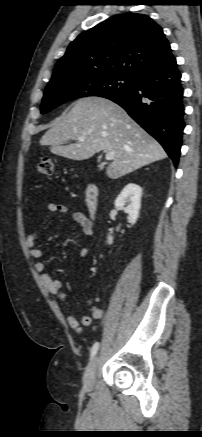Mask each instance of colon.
Masks as SVG:
<instances>
[{
  "mask_svg": "<svg viewBox=\"0 0 202 437\" xmlns=\"http://www.w3.org/2000/svg\"><path fill=\"white\" fill-rule=\"evenodd\" d=\"M40 174L51 176L55 171V160L52 157H44L37 165Z\"/></svg>",
  "mask_w": 202,
  "mask_h": 437,
  "instance_id": "1",
  "label": "colon"
}]
</instances>
